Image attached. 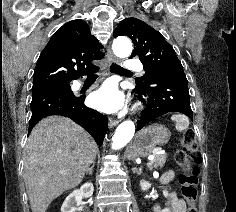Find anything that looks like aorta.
Masks as SVG:
<instances>
[{"instance_id":"1","label":"aorta","mask_w":236,"mask_h":212,"mask_svg":"<svg viewBox=\"0 0 236 212\" xmlns=\"http://www.w3.org/2000/svg\"><path fill=\"white\" fill-rule=\"evenodd\" d=\"M112 49L116 56L126 58L132 52V43L127 37H118L113 41ZM134 133L135 125L132 121L122 122L112 138V149L117 150L124 147L132 139Z\"/></svg>"}]
</instances>
